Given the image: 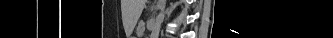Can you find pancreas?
<instances>
[{
    "mask_svg": "<svg viewBox=\"0 0 333 38\" xmlns=\"http://www.w3.org/2000/svg\"><path fill=\"white\" fill-rule=\"evenodd\" d=\"M143 31H144V26H143V25H140V26H139V32H140V35L143 34Z\"/></svg>",
    "mask_w": 333,
    "mask_h": 38,
    "instance_id": "1",
    "label": "pancreas"
}]
</instances>
